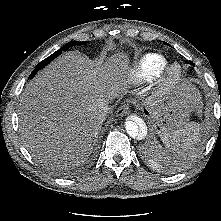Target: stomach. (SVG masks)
<instances>
[{
	"label": "stomach",
	"mask_w": 221,
	"mask_h": 221,
	"mask_svg": "<svg viewBox=\"0 0 221 221\" xmlns=\"http://www.w3.org/2000/svg\"><path fill=\"white\" fill-rule=\"evenodd\" d=\"M190 111V104L186 102L183 91L177 92L154 112V129L160 135L178 129L186 124Z\"/></svg>",
	"instance_id": "stomach-1"
}]
</instances>
